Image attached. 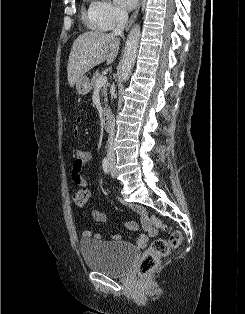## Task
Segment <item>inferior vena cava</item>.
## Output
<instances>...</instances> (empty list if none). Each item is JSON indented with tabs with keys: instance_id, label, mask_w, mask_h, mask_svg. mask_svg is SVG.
<instances>
[{
	"instance_id": "602c4592",
	"label": "inferior vena cava",
	"mask_w": 245,
	"mask_h": 314,
	"mask_svg": "<svg viewBox=\"0 0 245 314\" xmlns=\"http://www.w3.org/2000/svg\"><path fill=\"white\" fill-rule=\"evenodd\" d=\"M128 21V13L124 10H119L116 15V28L113 30L112 35L115 37L124 36V27ZM114 136H115V120L112 117L110 122L109 129V138H108V148H107V158L109 162L115 163L116 157L114 152Z\"/></svg>"
}]
</instances>
